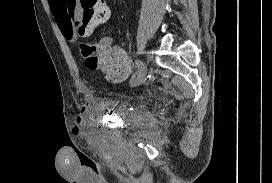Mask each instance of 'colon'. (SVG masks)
<instances>
[{"instance_id": "1", "label": "colon", "mask_w": 272, "mask_h": 183, "mask_svg": "<svg viewBox=\"0 0 272 183\" xmlns=\"http://www.w3.org/2000/svg\"><path fill=\"white\" fill-rule=\"evenodd\" d=\"M67 18L72 29L81 35H89L100 24L109 18V8L105 0H67ZM76 12L78 14L76 15ZM82 52L86 65L90 69L109 66L114 56L102 52L98 45L84 44Z\"/></svg>"}]
</instances>
